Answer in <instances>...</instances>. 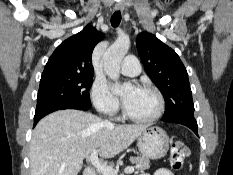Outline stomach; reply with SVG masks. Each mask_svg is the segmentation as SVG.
Instances as JSON below:
<instances>
[{"label":"stomach","instance_id":"0dacf381","mask_svg":"<svg viewBox=\"0 0 233 175\" xmlns=\"http://www.w3.org/2000/svg\"><path fill=\"white\" fill-rule=\"evenodd\" d=\"M137 146L141 155L148 159H161L169 149V137L160 127L146 128L138 138Z\"/></svg>","mask_w":233,"mask_h":175}]
</instances>
